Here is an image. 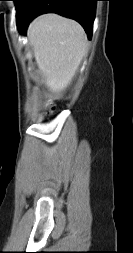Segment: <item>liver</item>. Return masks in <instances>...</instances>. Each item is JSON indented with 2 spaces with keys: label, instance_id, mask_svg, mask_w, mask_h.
<instances>
[{
  "label": "liver",
  "instance_id": "1",
  "mask_svg": "<svg viewBox=\"0 0 133 253\" xmlns=\"http://www.w3.org/2000/svg\"><path fill=\"white\" fill-rule=\"evenodd\" d=\"M27 36L49 96L60 97L71 84L86 55L84 29L74 20L46 14L31 22Z\"/></svg>",
  "mask_w": 133,
  "mask_h": 253
}]
</instances>
